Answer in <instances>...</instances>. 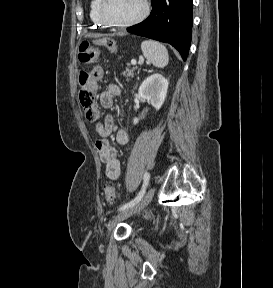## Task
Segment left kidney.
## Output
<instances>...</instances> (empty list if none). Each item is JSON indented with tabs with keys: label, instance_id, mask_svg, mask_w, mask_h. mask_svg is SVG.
Here are the masks:
<instances>
[{
	"label": "left kidney",
	"instance_id": "left-kidney-1",
	"mask_svg": "<svg viewBox=\"0 0 273 288\" xmlns=\"http://www.w3.org/2000/svg\"><path fill=\"white\" fill-rule=\"evenodd\" d=\"M168 80L159 73H155L146 78L139 87V95L143 99L159 110L164 103L168 90ZM138 118L133 119V123H138Z\"/></svg>",
	"mask_w": 273,
	"mask_h": 288
}]
</instances>
